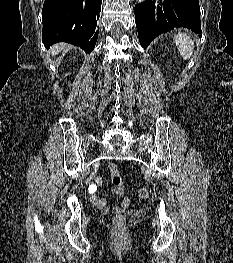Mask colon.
Segmentation results:
<instances>
[{
	"label": "colon",
	"instance_id": "obj_1",
	"mask_svg": "<svg viewBox=\"0 0 233 263\" xmlns=\"http://www.w3.org/2000/svg\"><path fill=\"white\" fill-rule=\"evenodd\" d=\"M111 172H112V181L113 184L118 186L119 188L123 189V183L122 180L118 174L117 171V167L116 166H111ZM88 187H89V191H93V194L89 195L90 199H93L94 201L96 200V195H95V191H98V186H97V182H88ZM137 195L140 199L145 200L149 198V191L145 188L140 189L137 192ZM112 223L114 228L120 230L122 228H124L125 224H126V220L125 217L123 215L117 214L113 217L112 219Z\"/></svg>",
	"mask_w": 233,
	"mask_h": 263
}]
</instances>
